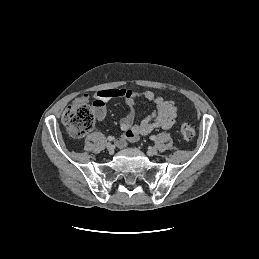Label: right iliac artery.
Instances as JSON below:
<instances>
[{"label":"right iliac artery","instance_id":"82829eb1","mask_svg":"<svg viewBox=\"0 0 259 259\" xmlns=\"http://www.w3.org/2000/svg\"><path fill=\"white\" fill-rule=\"evenodd\" d=\"M107 139H108L109 141H113V140H114V137H113V136H108Z\"/></svg>","mask_w":259,"mask_h":259}]
</instances>
